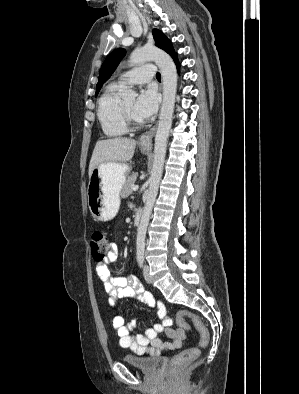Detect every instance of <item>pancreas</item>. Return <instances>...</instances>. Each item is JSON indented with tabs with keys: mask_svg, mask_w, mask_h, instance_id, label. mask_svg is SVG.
I'll list each match as a JSON object with an SVG mask.
<instances>
[{
	"mask_svg": "<svg viewBox=\"0 0 299 394\" xmlns=\"http://www.w3.org/2000/svg\"><path fill=\"white\" fill-rule=\"evenodd\" d=\"M138 174L134 173L129 176L124 184L123 190L121 192L122 198H127L132 193V187L135 184Z\"/></svg>",
	"mask_w": 299,
	"mask_h": 394,
	"instance_id": "1",
	"label": "pancreas"
}]
</instances>
